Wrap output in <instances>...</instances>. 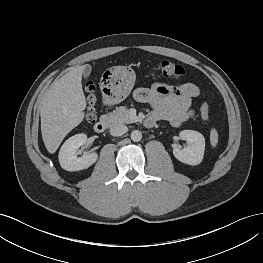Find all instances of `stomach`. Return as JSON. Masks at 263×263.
Returning <instances> with one entry per match:
<instances>
[{"label":"stomach","mask_w":263,"mask_h":263,"mask_svg":"<svg viewBox=\"0 0 263 263\" xmlns=\"http://www.w3.org/2000/svg\"><path fill=\"white\" fill-rule=\"evenodd\" d=\"M136 74L127 66L109 68L102 77V89L106 101L110 104L122 102L135 84Z\"/></svg>","instance_id":"stomach-1"}]
</instances>
